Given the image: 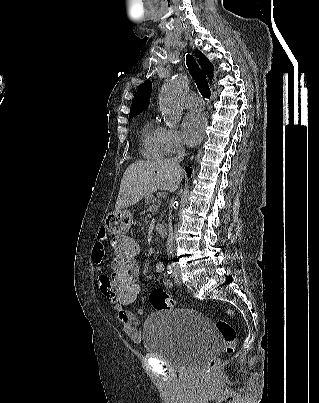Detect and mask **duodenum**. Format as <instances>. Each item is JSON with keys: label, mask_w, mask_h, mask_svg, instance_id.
<instances>
[{"label": "duodenum", "mask_w": 319, "mask_h": 403, "mask_svg": "<svg viewBox=\"0 0 319 403\" xmlns=\"http://www.w3.org/2000/svg\"><path fill=\"white\" fill-rule=\"evenodd\" d=\"M154 230L157 234H159L162 237H165L167 235V229L163 223L160 222L155 223Z\"/></svg>", "instance_id": "1"}]
</instances>
